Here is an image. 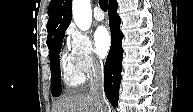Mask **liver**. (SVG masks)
Listing matches in <instances>:
<instances>
[{
  "mask_svg": "<svg viewBox=\"0 0 193 112\" xmlns=\"http://www.w3.org/2000/svg\"><path fill=\"white\" fill-rule=\"evenodd\" d=\"M108 110L105 98L100 99L96 95L79 94L58 100L52 112H103Z\"/></svg>",
  "mask_w": 193,
  "mask_h": 112,
  "instance_id": "6515ba94",
  "label": "liver"
}]
</instances>
